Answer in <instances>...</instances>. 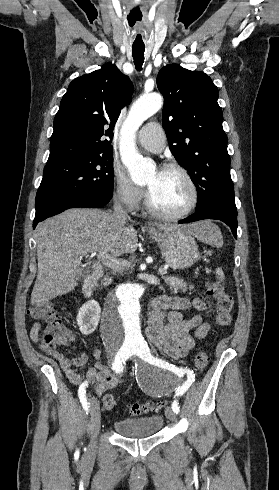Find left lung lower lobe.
<instances>
[{
	"label": "left lung lower lobe",
	"mask_w": 279,
	"mask_h": 490,
	"mask_svg": "<svg viewBox=\"0 0 279 490\" xmlns=\"http://www.w3.org/2000/svg\"><path fill=\"white\" fill-rule=\"evenodd\" d=\"M203 219H216L225 222L231 228L234 237L237 239V212H231L221 206L210 205L205 209L196 211V213L186 219L180 220L179 223H190Z\"/></svg>",
	"instance_id": "obj_1"
}]
</instances>
